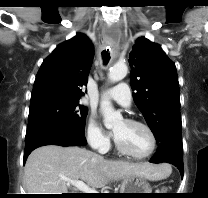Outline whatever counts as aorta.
I'll return each instance as SVG.
<instances>
[{"instance_id":"aorta-1","label":"aorta","mask_w":208,"mask_h":198,"mask_svg":"<svg viewBox=\"0 0 208 198\" xmlns=\"http://www.w3.org/2000/svg\"><path fill=\"white\" fill-rule=\"evenodd\" d=\"M128 72L127 65L124 63H116L110 68L108 79L110 82L115 83L121 81ZM100 109L104 117V125L106 128H112L117 122L122 120L120 112L114 110L109 100H102Z\"/></svg>"}]
</instances>
